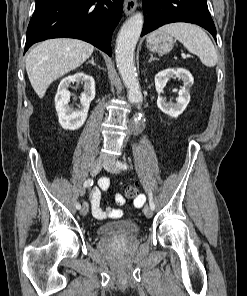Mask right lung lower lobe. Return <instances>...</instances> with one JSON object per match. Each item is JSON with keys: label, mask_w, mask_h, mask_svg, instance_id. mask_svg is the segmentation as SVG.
Wrapping results in <instances>:
<instances>
[{"label": "right lung lower lobe", "mask_w": 247, "mask_h": 296, "mask_svg": "<svg viewBox=\"0 0 247 296\" xmlns=\"http://www.w3.org/2000/svg\"><path fill=\"white\" fill-rule=\"evenodd\" d=\"M123 0H36L24 53L36 42L58 37L87 41L111 56V36Z\"/></svg>", "instance_id": "obj_1"}]
</instances>
